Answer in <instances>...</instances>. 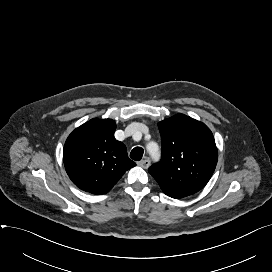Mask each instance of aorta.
Here are the masks:
<instances>
[{
	"label": "aorta",
	"mask_w": 272,
	"mask_h": 272,
	"mask_svg": "<svg viewBox=\"0 0 272 272\" xmlns=\"http://www.w3.org/2000/svg\"><path fill=\"white\" fill-rule=\"evenodd\" d=\"M147 150L149 152V154L156 159L159 156V149H158V145L156 143H150L147 146Z\"/></svg>",
	"instance_id": "1"
}]
</instances>
